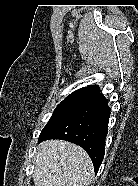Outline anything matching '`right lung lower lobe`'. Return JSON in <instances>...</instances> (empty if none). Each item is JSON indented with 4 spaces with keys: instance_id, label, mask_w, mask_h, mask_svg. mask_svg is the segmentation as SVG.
Returning <instances> with one entry per match:
<instances>
[{
    "instance_id": "obj_1",
    "label": "right lung lower lobe",
    "mask_w": 138,
    "mask_h": 186,
    "mask_svg": "<svg viewBox=\"0 0 138 186\" xmlns=\"http://www.w3.org/2000/svg\"><path fill=\"white\" fill-rule=\"evenodd\" d=\"M91 100L59 122L39 142L62 139L81 146L90 156L95 173L104 158V145L108 132L110 108L100 91H92Z\"/></svg>"
}]
</instances>
